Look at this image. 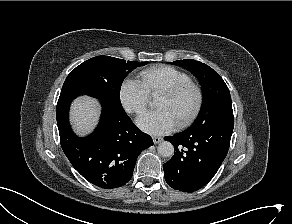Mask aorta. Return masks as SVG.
I'll return each mask as SVG.
<instances>
[{"mask_svg":"<svg viewBox=\"0 0 292 224\" xmlns=\"http://www.w3.org/2000/svg\"><path fill=\"white\" fill-rule=\"evenodd\" d=\"M158 153L162 157H172L174 154V146L168 141H163L158 145Z\"/></svg>","mask_w":292,"mask_h":224,"instance_id":"1","label":"aorta"}]
</instances>
